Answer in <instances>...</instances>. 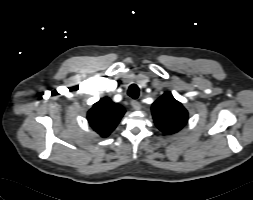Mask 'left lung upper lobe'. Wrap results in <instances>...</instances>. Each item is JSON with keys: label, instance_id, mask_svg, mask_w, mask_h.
<instances>
[{"label": "left lung upper lobe", "instance_id": "obj_1", "mask_svg": "<svg viewBox=\"0 0 253 200\" xmlns=\"http://www.w3.org/2000/svg\"><path fill=\"white\" fill-rule=\"evenodd\" d=\"M152 114L156 126L165 134L178 132L188 120L187 110L170 93L153 103Z\"/></svg>", "mask_w": 253, "mask_h": 200}]
</instances>
